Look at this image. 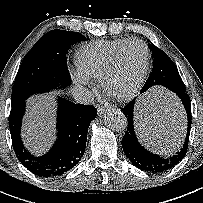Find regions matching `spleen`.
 Listing matches in <instances>:
<instances>
[{"instance_id": "3e777b00", "label": "spleen", "mask_w": 203, "mask_h": 203, "mask_svg": "<svg viewBox=\"0 0 203 203\" xmlns=\"http://www.w3.org/2000/svg\"><path fill=\"white\" fill-rule=\"evenodd\" d=\"M152 100L158 104L160 109H165L167 107V103H169L170 101H172V96L168 93H165L162 90H158L155 92V94H153V96H151ZM181 144V140L178 141V143L176 144L175 148L174 146L171 147V149L166 150L169 152L174 151L177 147H179Z\"/></svg>"}]
</instances>
